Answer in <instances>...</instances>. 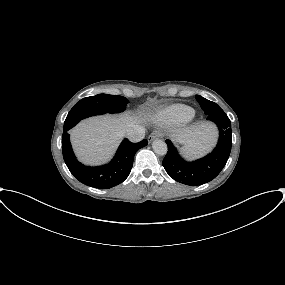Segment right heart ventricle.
Wrapping results in <instances>:
<instances>
[{"label":"right heart ventricle","mask_w":285,"mask_h":285,"mask_svg":"<svg viewBox=\"0 0 285 285\" xmlns=\"http://www.w3.org/2000/svg\"><path fill=\"white\" fill-rule=\"evenodd\" d=\"M194 110L183 104H174L161 110L157 114V120L161 125L176 126L186 123L191 119Z\"/></svg>","instance_id":"1"}]
</instances>
